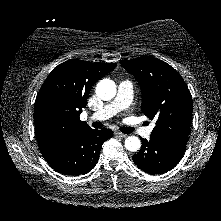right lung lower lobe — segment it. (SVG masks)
Returning a JSON list of instances; mask_svg holds the SVG:
<instances>
[{
    "instance_id": "1",
    "label": "right lung lower lobe",
    "mask_w": 221,
    "mask_h": 221,
    "mask_svg": "<svg viewBox=\"0 0 221 221\" xmlns=\"http://www.w3.org/2000/svg\"><path fill=\"white\" fill-rule=\"evenodd\" d=\"M112 135L110 129H87L46 161L55 171L62 174L77 176L86 174L98 162L103 142Z\"/></svg>"
}]
</instances>
